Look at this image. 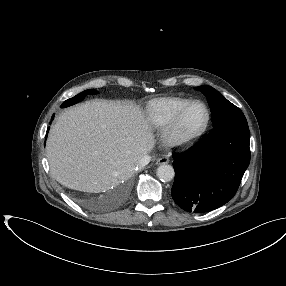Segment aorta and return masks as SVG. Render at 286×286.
<instances>
[{
  "instance_id": "1",
  "label": "aorta",
  "mask_w": 286,
  "mask_h": 286,
  "mask_svg": "<svg viewBox=\"0 0 286 286\" xmlns=\"http://www.w3.org/2000/svg\"><path fill=\"white\" fill-rule=\"evenodd\" d=\"M156 174L161 181L168 182L174 178L175 172L171 165L162 164L157 168Z\"/></svg>"
}]
</instances>
